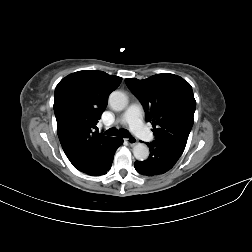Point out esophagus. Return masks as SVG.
Segmentation results:
<instances>
[{
  "mask_svg": "<svg viewBox=\"0 0 252 252\" xmlns=\"http://www.w3.org/2000/svg\"><path fill=\"white\" fill-rule=\"evenodd\" d=\"M126 142L129 144V145H135L137 143V140L135 138H127L125 139Z\"/></svg>",
  "mask_w": 252,
  "mask_h": 252,
  "instance_id": "34e87169",
  "label": "esophagus"
}]
</instances>
